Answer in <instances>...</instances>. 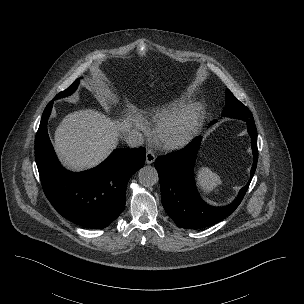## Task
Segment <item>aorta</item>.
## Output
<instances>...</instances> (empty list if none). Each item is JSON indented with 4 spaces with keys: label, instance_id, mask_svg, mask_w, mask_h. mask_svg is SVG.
Returning <instances> with one entry per match:
<instances>
[{
    "label": "aorta",
    "instance_id": "obj_1",
    "mask_svg": "<svg viewBox=\"0 0 304 304\" xmlns=\"http://www.w3.org/2000/svg\"><path fill=\"white\" fill-rule=\"evenodd\" d=\"M139 182L146 187L155 185L159 178L157 170L152 166H144L138 172Z\"/></svg>",
    "mask_w": 304,
    "mask_h": 304
}]
</instances>
